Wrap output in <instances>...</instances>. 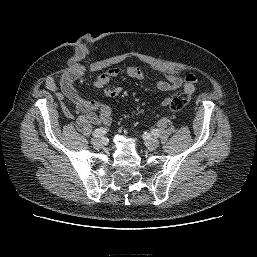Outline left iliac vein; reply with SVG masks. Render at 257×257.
Here are the masks:
<instances>
[{"label":"left iliac vein","instance_id":"obj_1","mask_svg":"<svg viewBox=\"0 0 257 257\" xmlns=\"http://www.w3.org/2000/svg\"><path fill=\"white\" fill-rule=\"evenodd\" d=\"M146 144L150 149H156L159 146V141L150 135H145Z\"/></svg>","mask_w":257,"mask_h":257}]
</instances>
